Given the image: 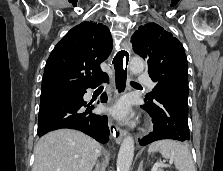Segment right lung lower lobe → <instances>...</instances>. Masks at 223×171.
Returning a JSON list of instances; mask_svg holds the SVG:
<instances>
[{"instance_id": "right-lung-lower-lobe-1", "label": "right lung lower lobe", "mask_w": 223, "mask_h": 171, "mask_svg": "<svg viewBox=\"0 0 223 171\" xmlns=\"http://www.w3.org/2000/svg\"><path fill=\"white\" fill-rule=\"evenodd\" d=\"M109 80L104 75L89 86L95 88ZM87 89V88H86ZM86 89L72 94L54 95L40 100L37 135L43 136L49 131L60 128H71L83 131L101 143L108 141L109 128L107 117L92 113L93 105L83 100ZM106 94H102L100 102H106Z\"/></svg>"}]
</instances>
